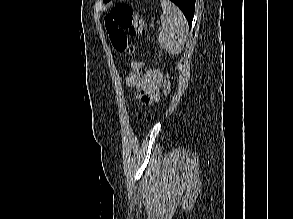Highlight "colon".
<instances>
[{"instance_id":"1","label":"colon","mask_w":293,"mask_h":219,"mask_svg":"<svg viewBox=\"0 0 293 219\" xmlns=\"http://www.w3.org/2000/svg\"><path fill=\"white\" fill-rule=\"evenodd\" d=\"M104 24L113 49L120 54L134 53L135 47L129 42V36H144L147 32L143 19L126 3L115 4L105 16ZM131 71L132 74H141L142 63L132 61ZM171 90L170 77L166 74L163 82L164 95L169 96Z\"/></svg>"}]
</instances>
